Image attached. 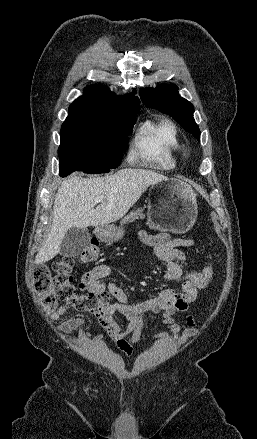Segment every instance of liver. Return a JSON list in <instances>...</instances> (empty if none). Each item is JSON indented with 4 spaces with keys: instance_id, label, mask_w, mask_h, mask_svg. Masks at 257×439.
Here are the masks:
<instances>
[{
    "instance_id": "liver-1",
    "label": "liver",
    "mask_w": 257,
    "mask_h": 439,
    "mask_svg": "<svg viewBox=\"0 0 257 439\" xmlns=\"http://www.w3.org/2000/svg\"><path fill=\"white\" fill-rule=\"evenodd\" d=\"M163 179H166L164 175L154 171L134 168L98 178L72 175L62 182L56 193L51 230L35 262L42 264L53 259L70 228L104 226L119 220L150 185ZM99 196L103 202L94 208Z\"/></svg>"
}]
</instances>
